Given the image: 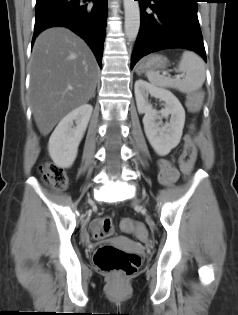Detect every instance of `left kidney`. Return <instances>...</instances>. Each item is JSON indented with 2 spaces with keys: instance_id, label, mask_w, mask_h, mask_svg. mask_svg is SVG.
<instances>
[{
  "instance_id": "5707ae66",
  "label": "left kidney",
  "mask_w": 238,
  "mask_h": 315,
  "mask_svg": "<svg viewBox=\"0 0 238 315\" xmlns=\"http://www.w3.org/2000/svg\"><path fill=\"white\" fill-rule=\"evenodd\" d=\"M134 89L138 112L145 114L143 124L147 139L158 155L165 156L180 142L185 123V110L173 93L142 79L135 82ZM149 94L164 101V108L160 111L155 110L148 101ZM169 115H171L169 123L164 125L156 123L157 119L168 118Z\"/></svg>"
}]
</instances>
